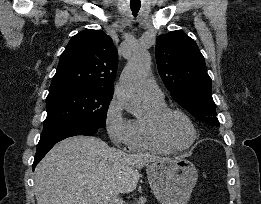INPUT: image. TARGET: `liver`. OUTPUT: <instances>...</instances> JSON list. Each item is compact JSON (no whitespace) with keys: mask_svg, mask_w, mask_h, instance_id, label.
<instances>
[{"mask_svg":"<svg viewBox=\"0 0 261 204\" xmlns=\"http://www.w3.org/2000/svg\"><path fill=\"white\" fill-rule=\"evenodd\" d=\"M169 158L125 153L97 137L64 139L35 168L37 204H109L114 193H130L139 169Z\"/></svg>","mask_w":261,"mask_h":204,"instance_id":"liver-1","label":"liver"}]
</instances>
